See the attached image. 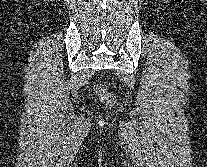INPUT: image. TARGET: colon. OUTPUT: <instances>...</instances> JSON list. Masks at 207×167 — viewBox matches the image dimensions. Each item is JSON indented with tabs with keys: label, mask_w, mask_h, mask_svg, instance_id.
Returning <instances> with one entry per match:
<instances>
[{
	"label": "colon",
	"mask_w": 207,
	"mask_h": 167,
	"mask_svg": "<svg viewBox=\"0 0 207 167\" xmlns=\"http://www.w3.org/2000/svg\"><path fill=\"white\" fill-rule=\"evenodd\" d=\"M94 94L106 106H113L115 103V96L111 93L105 85L97 84L93 88Z\"/></svg>",
	"instance_id": "colon-1"
}]
</instances>
